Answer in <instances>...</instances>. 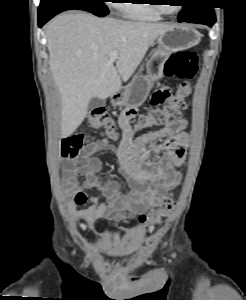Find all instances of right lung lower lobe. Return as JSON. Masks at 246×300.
<instances>
[{
  "instance_id": "98d812e1",
  "label": "right lung lower lobe",
  "mask_w": 246,
  "mask_h": 300,
  "mask_svg": "<svg viewBox=\"0 0 246 300\" xmlns=\"http://www.w3.org/2000/svg\"><path fill=\"white\" fill-rule=\"evenodd\" d=\"M71 9H79V8L74 6L62 5V6H56L54 8H51L44 13H38L39 27L41 28L47 21H49L52 17H54L58 13H61L66 10H71Z\"/></svg>"
}]
</instances>
